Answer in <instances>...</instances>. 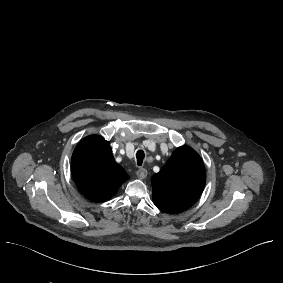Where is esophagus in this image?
Listing matches in <instances>:
<instances>
[{"mask_svg": "<svg viewBox=\"0 0 283 283\" xmlns=\"http://www.w3.org/2000/svg\"><path fill=\"white\" fill-rule=\"evenodd\" d=\"M136 175L139 179H144L148 175V172L145 168H140L136 171Z\"/></svg>", "mask_w": 283, "mask_h": 283, "instance_id": "obj_1", "label": "esophagus"}]
</instances>
